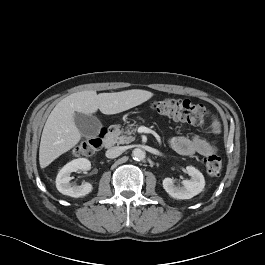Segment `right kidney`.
<instances>
[{"mask_svg":"<svg viewBox=\"0 0 265 265\" xmlns=\"http://www.w3.org/2000/svg\"><path fill=\"white\" fill-rule=\"evenodd\" d=\"M91 163L86 158L74 159L67 163L58 173L56 177V188L57 190L71 197H83L89 194L93 187L88 182H83L81 185H73L70 183L72 177L70 174L78 170L86 171L90 170Z\"/></svg>","mask_w":265,"mask_h":265,"instance_id":"1","label":"right kidney"}]
</instances>
